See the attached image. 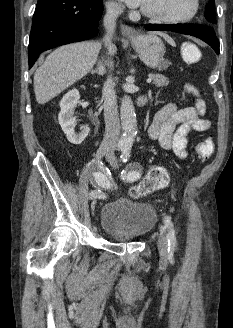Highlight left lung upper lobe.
<instances>
[{"label": "left lung upper lobe", "mask_w": 233, "mask_h": 328, "mask_svg": "<svg viewBox=\"0 0 233 328\" xmlns=\"http://www.w3.org/2000/svg\"><path fill=\"white\" fill-rule=\"evenodd\" d=\"M205 18L212 24H216L214 0H210L206 6Z\"/></svg>", "instance_id": "5c2ea615"}]
</instances>
